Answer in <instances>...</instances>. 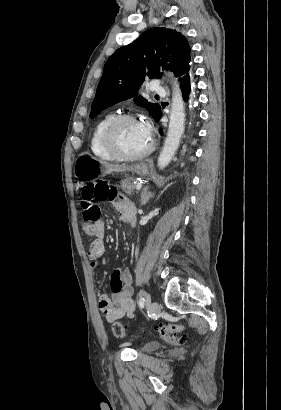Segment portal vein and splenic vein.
Listing matches in <instances>:
<instances>
[{
  "label": "portal vein and splenic vein",
  "mask_w": 281,
  "mask_h": 410,
  "mask_svg": "<svg viewBox=\"0 0 281 410\" xmlns=\"http://www.w3.org/2000/svg\"><path fill=\"white\" fill-rule=\"evenodd\" d=\"M141 188H142L141 184H137L136 187H135L136 190H141Z\"/></svg>",
  "instance_id": "obj_1"
}]
</instances>
